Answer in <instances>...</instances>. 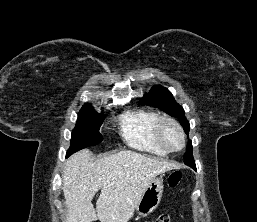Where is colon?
<instances>
[{
	"instance_id": "colon-1",
	"label": "colon",
	"mask_w": 257,
	"mask_h": 222,
	"mask_svg": "<svg viewBox=\"0 0 257 222\" xmlns=\"http://www.w3.org/2000/svg\"><path fill=\"white\" fill-rule=\"evenodd\" d=\"M182 180V173L180 171H173L169 174L167 184L170 188H176ZM153 222H171L168 214H161Z\"/></svg>"
}]
</instances>
